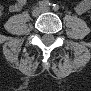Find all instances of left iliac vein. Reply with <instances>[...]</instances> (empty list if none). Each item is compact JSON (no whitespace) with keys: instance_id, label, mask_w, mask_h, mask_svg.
<instances>
[{"instance_id":"4c4485c4","label":"left iliac vein","mask_w":91,"mask_h":91,"mask_svg":"<svg viewBox=\"0 0 91 91\" xmlns=\"http://www.w3.org/2000/svg\"><path fill=\"white\" fill-rule=\"evenodd\" d=\"M49 10H50L49 7H44V8L42 9L43 12H48Z\"/></svg>"}]
</instances>
